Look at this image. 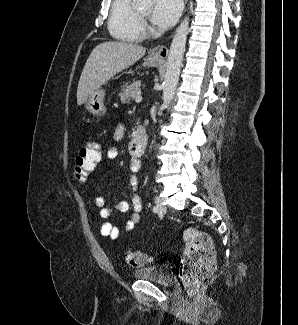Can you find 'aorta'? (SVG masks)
Segmentation results:
<instances>
[{"label": "aorta", "mask_w": 298, "mask_h": 325, "mask_svg": "<svg viewBox=\"0 0 298 325\" xmlns=\"http://www.w3.org/2000/svg\"><path fill=\"white\" fill-rule=\"evenodd\" d=\"M138 8H152L153 0H136ZM190 16L185 14L179 26H177L171 40L169 54L166 62V72L163 80L162 106L168 108L171 104L176 86L178 84L181 64L188 36Z\"/></svg>", "instance_id": "aorta-1"}]
</instances>
